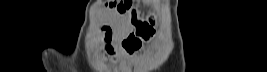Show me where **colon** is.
Masks as SVG:
<instances>
[{"label":"colon","instance_id":"5ec220e1","mask_svg":"<svg viewBox=\"0 0 267 72\" xmlns=\"http://www.w3.org/2000/svg\"><path fill=\"white\" fill-rule=\"evenodd\" d=\"M114 3L118 6L119 9H126V4L128 1H114ZM132 23L135 28V33L130 35L126 39L125 48L127 51L131 52L137 49L143 40H147L152 34V27L150 22L140 19L136 12H132Z\"/></svg>","mask_w":267,"mask_h":72}]
</instances>
